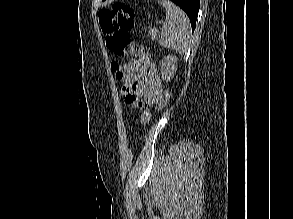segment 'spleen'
<instances>
[{"label":"spleen","mask_w":293,"mask_h":219,"mask_svg":"<svg viewBox=\"0 0 293 219\" xmlns=\"http://www.w3.org/2000/svg\"><path fill=\"white\" fill-rule=\"evenodd\" d=\"M166 8V19L159 43L166 48L185 53L190 45L191 25L187 15L169 0H159Z\"/></svg>","instance_id":"spleen-1"}]
</instances>
